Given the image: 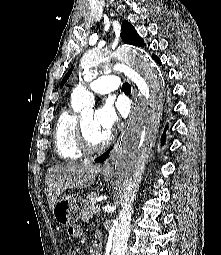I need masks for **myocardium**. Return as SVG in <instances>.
<instances>
[{
    "instance_id": "obj_1",
    "label": "myocardium",
    "mask_w": 221,
    "mask_h": 255,
    "mask_svg": "<svg viewBox=\"0 0 221 255\" xmlns=\"http://www.w3.org/2000/svg\"><path fill=\"white\" fill-rule=\"evenodd\" d=\"M77 138L80 149L86 154H95L102 152L110 145L112 141V135L110 133L107 139L102 144L98 146L91 144L84 130L82 119L78 120Z\"/></svg>"
}]
</instances>
